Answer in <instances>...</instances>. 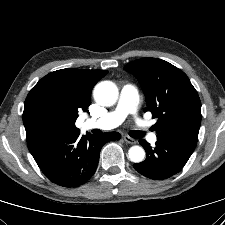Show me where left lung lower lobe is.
<instances>
[{"label": "left lung lower lobe", "instance_id": "obj_1", "mask_svg": "<svg viewBox=\"0 0 225 225\" xmlns=\"http://www.w3.org/2000/svg\"><path fill=\"white\" fill-rule=\"evenodd\" d=\"M139 143L144 147L147 157L145 161L134 164V169L155 180H163L178 173L193 153L192 150L165 140H157L155 148L144 139Z\"/></svg>", "mask_w": 225, "mask_h": 225}]
</instances>
